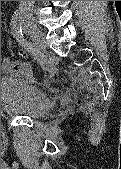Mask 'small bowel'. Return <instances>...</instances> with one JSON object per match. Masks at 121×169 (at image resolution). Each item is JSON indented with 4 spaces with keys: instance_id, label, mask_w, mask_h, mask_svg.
Instances as JSON below:
<instances>
[{
    "instance_id": "1",
    "label": "small bowel",
    "mask_w": 121,
    "mask_h": 169,
    "mask_svg": "<svg viewBox=\"0 0 121 169\" xmlns=\"http://www.w3.org/2000/svg\"><path fill=\"white\" fill-rule=\"evenodd\" d=\"M50 70H52L50 68ZM2 74L20 77L24 80L32 79V69L28 63L4 59L1 65Z\"/></svg>"
}]
</instances>
